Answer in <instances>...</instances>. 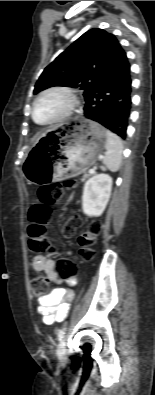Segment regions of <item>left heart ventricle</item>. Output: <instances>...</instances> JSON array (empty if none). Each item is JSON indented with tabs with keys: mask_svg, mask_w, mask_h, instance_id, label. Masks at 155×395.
Instances as JSON below:
<instances>
[{
	"mask_svg": "<svg viewBox=\"0 0 155 395\" xmlns=\"http://www.w3.org/2000/svg\"><path fill=\"white\" fill-rule=\"evenodd\" d=\"M66 105V100L60 95H48L42 98L35 109L38 122H47L59 115Z\"/></svg>",
	"mask_w": 155,
	"mask_h": 395,
	"instance_id": "obj_1",
	"label": "left heart ventricle"
}]
</instances>
